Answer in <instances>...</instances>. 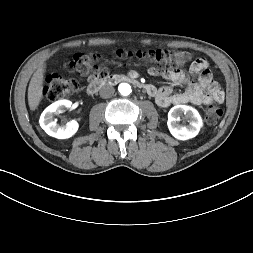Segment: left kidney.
Masks as SVG:
<instances>
[{
  "instance_id": "obj_1",
  "label": "left kidney",
  "mask_w": 253,
  "mask_h": 253,
  "mask_svg": "<svg viewBox=\"0 0 253 253\" xmlns=\"http://www.w3.org/2000/svg\"><path fill=\"white\" fill-rule=\"evenodd\" d=\"M185 116L189 125H180V117ZM168 128L170 133L178 140H188L195 137L202 125V118L198 111L187 105H176L168 113Z\"/></svg>"
}]
</instances>
